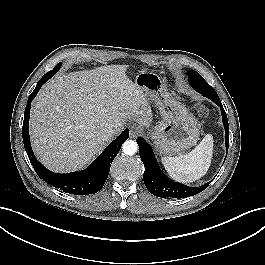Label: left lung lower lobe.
Listing matches in <instances>:
<instances>
[{
    "mask_svg": "<svg viewBox=\"0 0 265 265\" xmlns=\"http://www.w3.org/2000/svg\"><path fill=\"white\" fill-rule=\"evenodd\" d=\"M189 83L195 91L202 94V96L209 98L220 107L225 128L226 148L228 152L229 125L226 112L216 91L205 80H192L189 81ZM136 141L139 145L140 158L145 166L143 180L145 186L153 195L162 198H186L200 193L209 185L208 182L200 187H189L167 178L160 170L150 145L141 137L137 138Z\"/></svg>",
    "mask_w": 265,
    "mask_h": 265,
    "instance_id": "left-lung-lower-lobe-1",
    "label": "left lung lower lobe"
}]
</instances>
